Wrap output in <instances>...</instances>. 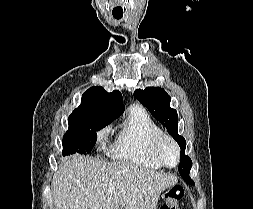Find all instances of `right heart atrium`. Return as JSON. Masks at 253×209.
Instances as JSON below:
<instances>
[{
	"instance_id": "1",
	"label": "right heart atrium",
	"mask_w": 253,
	"mask_h": 209,
	"mask_svg": "<svg viewBox=\"0 0 253 209\" xmlns=\"http://www.w3.org/2000/svg\"><path fill=\"white\" fill-rule=\"evenodd\" d=\"M107 134H108V128L106 127V128H103V129H101L99 132H98V134H97V140L99 141V142H104L105 140H106V138H107Z\"/></svg>"
}]
</instances>
